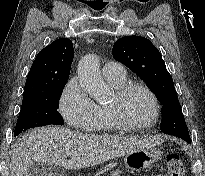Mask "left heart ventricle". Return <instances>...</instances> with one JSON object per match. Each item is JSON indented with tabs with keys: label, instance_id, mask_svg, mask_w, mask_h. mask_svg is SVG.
<instances>
[{
	"label": "left heart ventricle",
	"instance_id": "left-heart-ventricle-1",
	"mask_svg": "<svg viewBox=\"0 0 205 176\" xmlns=\"http://www.w3.org/2000/svg\"><path fill=\"white\" fill-rule=\"evenodd\" d=\"M113 101L114 98L110 104H112ZM122 110L128 121L139 124L150 119L153 106L145 92L135 90L122 101Z\"/></svg>",
	"mask_w": 205,
	"mask_h": 176
}]
</instances>
